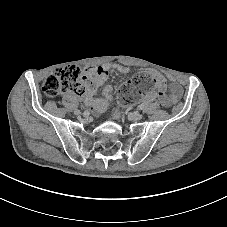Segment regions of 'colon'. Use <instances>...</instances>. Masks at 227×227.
I'll use <instances>...</instances> for the list:
<instances>
[{
	"mask_svg": "<svg viewBox=\"0 0 227 227\" xmlns=\"http://www.w3.org/2000/svg\"><path fill=\"white\" fill-rule=\"evenodd\" d=\"M155 87L154 78L148 73H139L125 82L119 90L118 98L121 104L135 102L147 90ZM42 90L48 97H55L64 90L81 95L84 83L81 71L76 66H66L46 77Z\"/></svg>",
	"mask_w": 227,
	"mask_h": 227,
	"instance_id": "colon-1",
	"label": "colon"
}]
</instances>
